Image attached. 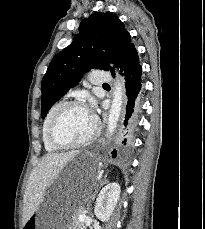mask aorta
<instances>
[{"label":"aorta","instance_id":"aorta-1","mask_svg":"<svg viewBox=\"0 0 205 229\" xmlns=\"http://www.w3.org/2000/svg\"><path fill=\"white\" fill-rule=\"evenodd\" d=\"M123 91L124 82L122 81L121 77L117 74L113 92V100L109 110V117L107 122L108 136H111L117 127L122 109Z\"/></svg>","mask_w":205,"mask_h":229}]
</instances>
